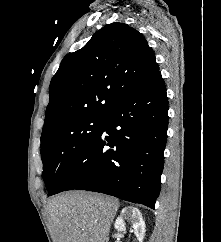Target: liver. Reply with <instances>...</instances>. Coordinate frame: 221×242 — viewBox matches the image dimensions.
<instances>
[{"label": "liver", "instance_id": "1", "mask_svg": "<svg viewBox=\"0 0 221 242\" xmlns=\"http://www.w3.org/2000/svg\"><path fill=\"white\" fill-rule=\"evenodd\" d=\"M117 199L70 191L53 197L47 210L53 242H108Z\"/></svg>", "mask_w": 221, "mask_h": 242}]
</instances>
